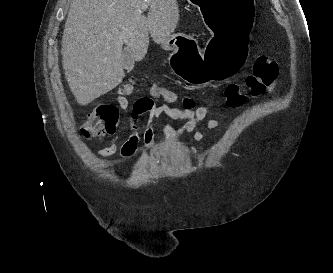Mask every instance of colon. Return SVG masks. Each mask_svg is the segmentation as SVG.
<instances>
[{
	"label": "colon",
	"mask_w": 333,
	"mask_h": 273,
	"mask_svg": "<svg viewBox=\"0 0 333 273\" xmlns=\"http://www.w3.org/2000/svg\"><path fill=\"white\" fill-rule=\"evenodd\" d=\"M277 75V64L269 56H259L253 66L252 73L246 78L244 84H230L224 90L225 105L230 108L242 106L248 95L259 96L269 86ZM136 90V81L130 76L121 86V95H131ZM154 99H163L174 104L181 103L184 108H193L196 100L192 96H183L170 89L153 85L150 89ZM118 109L110 104H100L87 116L82 126V134L86 138H97L115 131L118 124Z\"/></svg>",
	"instance_id": "1"
}]
</instances>
